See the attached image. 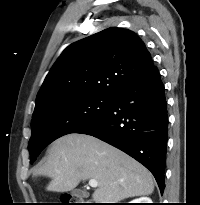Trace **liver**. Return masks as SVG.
Here are the masks:
<instances>
[{
	"label": "liver",
	"mask_w": 200,
	"mask_h": 205,
	"mask_svg": "<svg viewBox=\"0 0 200 205\" xmlns=\"http://www.w3.org/2000/svg\"><path fill=\"white\" fill-rule=\"evenodd\" d=\"M36 174L51 178L47 191L68 192L82 180L95 179L96 203H118L154 191L152 174L121 150L85 134L71 133L55 140L47 161Z\"/></svg>",
	"instance_id": "1"
}]
</instances>
